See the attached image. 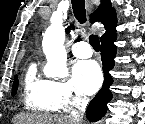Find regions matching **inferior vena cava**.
Segmentation results:
<instances>
[{"mask_svg": "<svg viewBox=\"0 0 145 124\" xmlns=\"http://www.w3.org/2000/svg\"><path fill=\"white\" fill-rule=\"evenodd\" d=\"M80 103L77 105V111L71 114V119L75 121L77 124H80L83 118V112L87 106V100H80ZM80 105V106H79Z\"/></svg>", "mask_w": 145, "mask_h": 124, "instance_id": "obj_1", "label": "inferior vena cava"}]
</instances>
